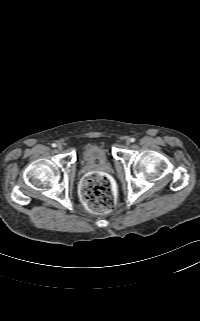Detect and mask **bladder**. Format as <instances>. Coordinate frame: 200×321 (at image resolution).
<instances>
[{"label": "bladder", "instance_id": "1", "mask_svg": "<svg viewBox=\"0 0 200 321\" xmlns=\"http://www.w3.org/2000/svg\"><path fill=\"white\" fill-rule=\"evenodd\" d=\"M109 158L108 147L101 142L90 143L82 151L81 159L83 162L91 163L96 161H105Z\"/></svg>", "mask_w": 200, "mask_h": 321}]
</instances>
